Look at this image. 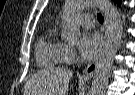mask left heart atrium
<instances>
[{
	"label": "left heart atrium",
	"instance_id": "1",
	"mask_svg": "<svg viewBox=\"0 0 135 95\" xmlns=\"http://www.w3.org/2000/svg\"><path fill=\"white\" fill-rule=\"evenodd\" d=\"M102 47V39L98 33H85L79 42V52L81 56L90 60L94 58Z\"/></svg>",
	"mask_w": 135,
	"mask_h": 95
}]
</instances>
